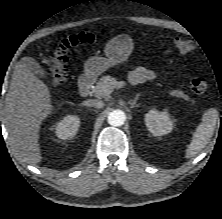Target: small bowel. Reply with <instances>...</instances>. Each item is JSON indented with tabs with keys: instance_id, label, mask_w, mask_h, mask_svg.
<instances>
[{
	"instance_id": "small-bowel-1",
	"label": "small bowel",
	"mask_w": 222,
	"mask_h": 219,
	"mask_svg": "<svg viewBox=\"0 0 222 219\" xmlns=\"http://www.w3.org/2000/svg\"><path fill=\"white\" fill-rule=\"evenodd\" d=\"M157 77L156 73L142 66L136 67L129 74V81L132 84H140L146 81L154 80Z\"/></svg>"
}]
</instances>
